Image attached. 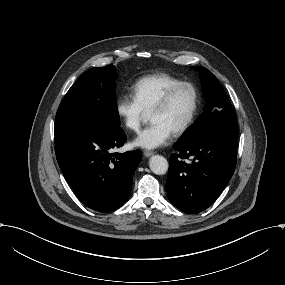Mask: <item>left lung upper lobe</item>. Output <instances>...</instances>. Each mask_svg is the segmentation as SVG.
Returning a JSON list of instances; mask_svg holds the SVG:
<instances>
[{
  "mask_svg": "<svg viewBox=\"0 0 285 285\" xmlns=\"http://www.w3.org/2000/svg\"><path fill=\"white\" fill-rule=\"evenodd\" d=\"M201 73L203 94L206 98L204 113L177 143H188L197 135L222 123L235 122L236 116L227 95L217 78L204 67H194Z\"/></svg>",
  "mask_w": 285,
  "mask_h": 285,
  "instance_id": "obj_1",
  "label": "left lung upper lobe"
}]
</instances>
